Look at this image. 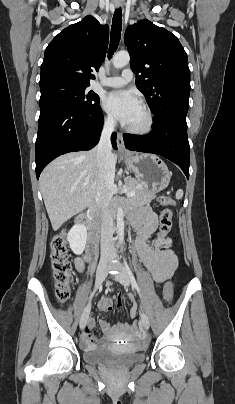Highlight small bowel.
<instances>
[{
  "instance_id": "c3829d8e",
  "label": "small bowel",
  "mask_w": 235,
  "mask_h": 404,
  "mask_svg": "<svg viewBox=\"0 0 235 404\" xmlns=\"http://www.w3.org/2000/svg\"><path fill=\"white\" fill-rule=\"evenodd\" d=\"M134 225L138 229L136 247L141 261L148 268L154 281L158 284L164 283L172 277L177 266L178 257L173 249V240L170 237H157L153 244L149 243V238L157 226V218L150 207L144 206L134 218ZM90 260L88 254L76 258L75 266L79 272H83L85 263ZM122 308L121 299L117 303ZM130 317L134 318L137 313V306L132 299L130 304ZM99 307L102 311L110 312L112 302L109 298H102ZM95 321L90 317L82 329L81 345L87 349H94L108 342L117 341L121 338L131 337V327L126 323H118L111 326L106 320H100L99 326L103 335L96 337L92 333Z\"/></svg>"
}]
</instances>
